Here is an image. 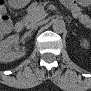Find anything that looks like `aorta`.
I'll use <instances>...</instances> for the list:
<instances>
[{
	"instance_id": "aorta-1",
	"label": "aorta",
	"mask_w": 91,
	"mask_h": 91,
	"mask_svg": "<svg viewBox=\"0 0 91 91\" xmlns=\"http://www.w3.org/2000/svg\"><path fill=\"white\" fill-rule=\"evenodd\" d=\"M53 30L57 33H62L66 29L65 22L63 20H55L53 22Z\"/></svg>"
}]
</instances>
